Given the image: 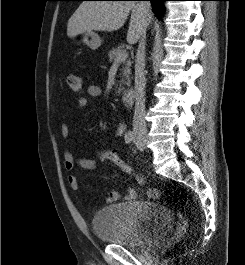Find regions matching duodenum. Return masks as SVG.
Segmentation results:
<instances>
[{"instance_id":"410a0bca","label":"duodenum","mask_w":245,"mask_h":265,"mask_svg":"<svg viewBox=\"0 0 245 265\" xmlns=\"http://www.w3.org/2000/svg\"><path fill=\"white\" fill-rule=\"evenodd\" d=\"M135 91L130 89L123 93L122 100L126 106H131L134 102Z\"/></svg>"}]
</instances>
